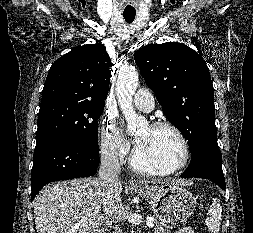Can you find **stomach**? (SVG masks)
Returning a JSON list of instances; mask_svg holds the SVG:
<instances>
[{"label": "stomach", "mask_w": 253, "mask_h": 233, "mask_svg": "<svg viewBox=\"0 0 253 233\" xmlns=\"http://www.w3.org/2000/svg\"><path fill=\"white\" fill-rule=\"evenodd\" d=\"M134 191L149 200L151 210L164 223L176 225L186 220L195 210L193 195L179 184L150 185L142 183Z\"/></svg>", "instance_id": "obj_1"}]
</instances>
